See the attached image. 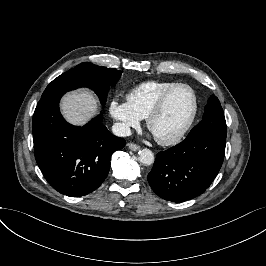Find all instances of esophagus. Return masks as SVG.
I'll return each mask as SVG.
<instances>
[{
  "mask_svg": "<svg viewBox=\"0 0 266 266\" xmlns=\"http://www.w3.org/2000/svg\"><path fill=\"white\" fill-rule=\"evenodd\" d=\"M128 147L132 151H137L140 149V146H138L137 144H134V143H128Z\"/></svg>",
  "mask_w": 266,
  "mask_h": 266,
  "instance_id": "esophagus-1",
  "label": "esophagus"
}]
</instances>
